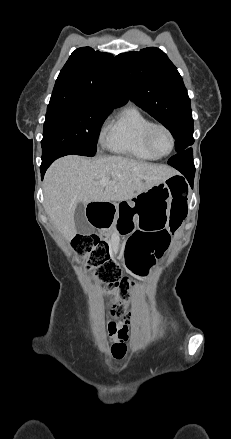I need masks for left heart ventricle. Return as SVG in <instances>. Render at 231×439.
I'll list each match as a JSON object with an SVG mask.
<instances>
[{
  "mask_svg": "<svg viewBox=\"0 0 231 439\" xmlns=\"http://www.w3.org/2000/svg\"><path fill=\"white\" fill-rule=\"evenodd\" d=\"M152 141L154 148L158 153L164 154L169 151L170 138L164 130L156 129L153 133Z\"/></svg>",
  "mask_w": 231,
  "mask_h": 439,
  "instance_id": "1",
  "label": "left heart ventricle"
}]
</instances>
